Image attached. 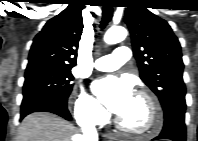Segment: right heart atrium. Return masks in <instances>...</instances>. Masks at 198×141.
<instances>
[{"instance_id": "obj_1", "label": "right heart atrium", "mask_w": 198, "mask_h": 141, "mask_svg": "<svg viewBox=\"0 0 198 141\" xmlns=\"http://www.w3.org/2000/svg\"><path fill=\"white\" fill-rule=\"evenodd\" d=\"M72 104L74 116L81 124L100 126L108 119L104 108L84 88L73 96Z\"/></svg>"}]
</instances>
